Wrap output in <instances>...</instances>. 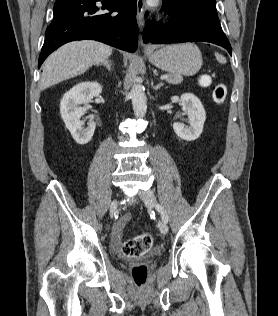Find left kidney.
I'll return each instance as SVG.
<instances>
[{"label":"left kidney","instance_id":"1","mask_svg":"<svg viewBox=\"0 0 278 316\" xmlns=\"http://www.w3.org/2000/svg\"><path fill=\"white\" fill-rule=\"evenodd\" d=\"M182 110L187 114L189 126L181 123H174L173 129L178 137L183 140L193 141L201 135L203 131L206 113L201 101L191 93L181 95Z\"/></svg>","mask_w":278,"mask_h":316}]
</instances>
